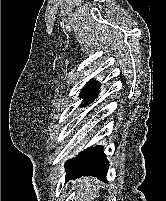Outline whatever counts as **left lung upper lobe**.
Here are the masks:
<instances>
[{
    "mask_svg": "<svg viewBox=\"0 0 166 201\" xmlns=\"http://www.w3.org/2000/svg\"><path fill=\"white\" fill-rule=\"evenodd\" d=\"M99 87L100 84H96V81L87 83V85L83 88V90L80 93V96L85 99L84 105H88L94 100V98L97 97Z\"/></svg>",
    "mask_w": 166,
    "mask_h": 201,
    "instance_id": "obj_1",
    "label": "left lung upper lobe"
}]
</instances>
